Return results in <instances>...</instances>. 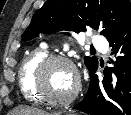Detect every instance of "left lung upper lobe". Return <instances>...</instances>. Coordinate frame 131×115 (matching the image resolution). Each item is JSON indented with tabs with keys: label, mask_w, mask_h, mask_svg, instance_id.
Wrapping results in <instances>:
<instances>
[{
	"label": "left lung upper lobe",
	"mask_w": 131,
	"mask_h": 115,
	"mask_svg": "<svg viewBox=\"0 0 131 115\" xmlns=\"http://www.w3.org/2000/svg\"><path fill=\"white\" fill-rule=\"evenodd\" d=\"M131 20L128 0H48L35 12L23 40L33 39L39 33L61 30L79 33L88 27L101 30L107 40ZM89 73L98 66L95 57L85 56Z\"/></svg>",
	"instance_id": "obj_1"
}]
</instances>
